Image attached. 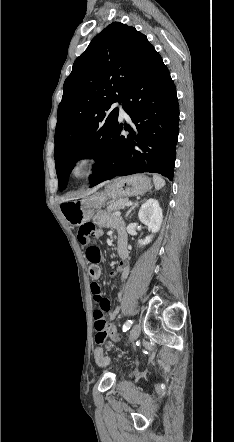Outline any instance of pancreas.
Instances as JSON below:
<instances>
[{"label": "pancreas", "instance_id": "1", "mask_svg": "<svg viewBox=\"0 0 234 442\" xmlns=\"http://www.w3.org/2000/svg\"><path fill=\"white\" fill-rule=\"evenodd\" d=\"M127 202H128V199H126V198L119 199V200H114L106 207L105 211L108 214H110L112 212H115V211H118L120 209H123Z\"/></svg>", "mask_w": 234, "mask_h": 442}]
</instances>
